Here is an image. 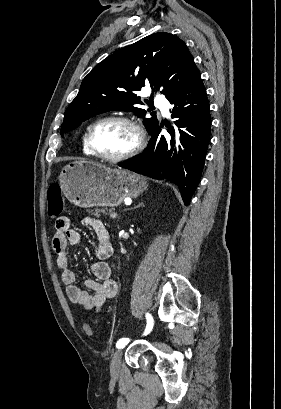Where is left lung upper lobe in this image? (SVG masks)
<instances>
[{
    "mask_svg": "<svg viewBox=\"0 0 281 409\" xmlns=\"http://www.w3.org/2000/svg\"><path fill=\"white\" fill-rule=\"evenodd\" d=\"M196 70L193 56L181 39L166 32L151 34L107 57L83 79L78 95L65 111L61 134L110 110L133 111L144 117L146 111L137 107L143 104L137 91L145 86L161 88L170 101L189 84ZM174 73L180 84L169 80ZM145 101L149 105L152 96ZM151 115L143 121L150 135L159 124L156 112Z\"/></svg>",
    "mask_w": 281,
    "mask_h": 409,
    "instance_id": "1",
    "label": "left lung upper lobe"
}]
</instances>
